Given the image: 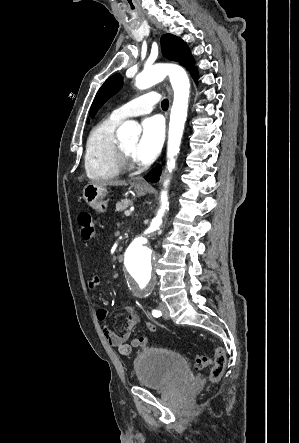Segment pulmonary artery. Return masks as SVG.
Listing matches in <instances>:
<instances>
[{"label":"pulmonary artery","instance_id":"obj_1","mask_svg":"<svg viewBox=\"0 0 299 443\" xmlns=\"http://www.w3.org/2000/svg\"><path fill=\"white\" fill-rule=\"evenodd\" d=\"M159 100V94L155 91H151L116 108L111 113V116L118 120H124L129 117L144 115L150 113Z\"/></svg>","mask_w":299,"mask_h":443}]
</instances>
